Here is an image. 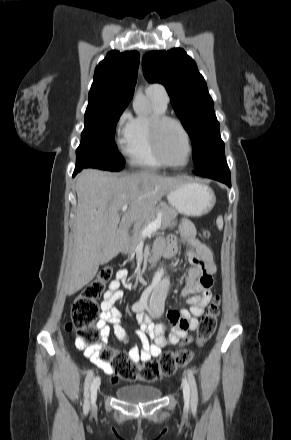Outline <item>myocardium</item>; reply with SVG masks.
Returning <instances> with one entry per match:
<instances>
[{"instance_id":"1","label":"myocardium","mask_w":291,"mask_h":440,"mask_svg":"<svg viewBox=\"0 0 291 440\" xmlns=\"http://www.w3.org/2000/svg\"><path fill=\"white\" fill-rule=\"evenodd\" d=\"M168 123L175 124L181 130L186 140V146H187L186 160L181 164L169 162L164 157L161 150V144H160L161 131L163 127ZM148 128H149V134H150L153 151L156 157L158 158V160L164 166L174 167V168H184L189 164L193 152L191 137L189 132L187 131V129L180 120L167 115H152L148 120Z\"/></svg>"}]
</instances>
